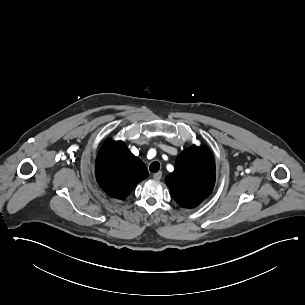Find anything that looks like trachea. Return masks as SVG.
<instances>
[{
	"mask_svg": "<svg viewBox=\"0 0 305 305\" xmlns=\"http://www.w3.org/2000/svg\"><path fill=\"white\" fill-rule=\"evenodd\" d=\"M149 170L152 173H157L160 170V163L158 161H154L150 164Z\"/></svg>",
	"mask_w": 305,
	"mask_h": 305,
	"instance_id": "trachea-1",
	"label": "trachea"
}]
</instances>
